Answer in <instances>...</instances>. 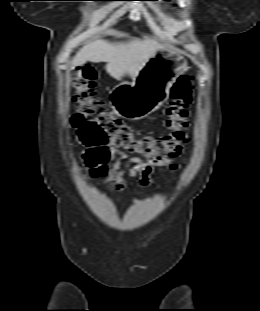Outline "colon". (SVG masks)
I'll return each mask as SVG.
<instances>
[{
	"label": "colon",
	"instance_id": "obj_1",
	"mask_svg": "<svg viewBox=\"0 0 260 311\" xmlns=\"http://www.w3.org/2000/svg\"><path fill=\"white\" fill-rule=\"evenodd\" d=\"M97 71L86 66L73 81V102L76 112L71 123L85 148L82 157L86 166L96 170L106 165L107 146L124 153H134L145 159L165 160L179 156L188 142L187 108L192 95V78L180 77L171 89L170 101L164 110L165 126L170 133L162 136H138L134 130L116 118L95 95Z\"/></svg>",
	"mask_w": 260,
	"mask_h": 311
}]
</instances>
